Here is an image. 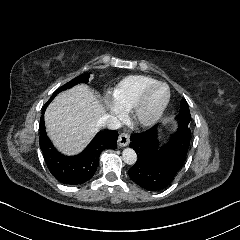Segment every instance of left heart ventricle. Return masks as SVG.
Here are the masks:
<instances>
[{
    "label": "left heart ventricle",
    "mask_w": 240,
    "mask_h": 240,
    "mask_svg": "<svg viewBox=\"0 0 240 240\" xmlns=\"http://www.w3.org/2000/svg\"><path fill=\"white\" fill-rule=\"evenodd\" d=\"M165 90L163 87H157L149 100V106L155 107L163 99Z\"/></svg>",
    "instance_id": "b2bd125f"
}]
</instances>
